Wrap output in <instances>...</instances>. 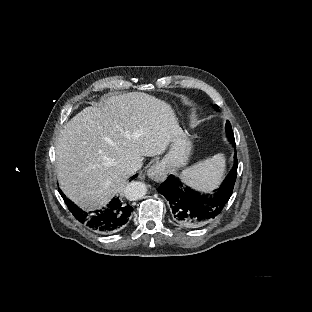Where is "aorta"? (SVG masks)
Masks as SVG:
<instances>
[{"instance_id": "aorta-1", "label": "aorta", "mask_w": 312, "mask_h": 312, "mask_svg": "<svg viewBox=\"0 0 312 312\" xmlns=\"http://www.w3.org/2000/svg\"><path fill=\"white\" fill-rule=\"evenodd\" d=\"M146 194V185L144 183L135 181L130 182L125 187V197L130 201H137Z\"/></svg>"}]
</instances>
